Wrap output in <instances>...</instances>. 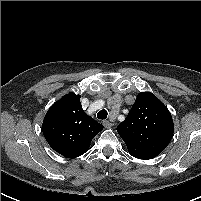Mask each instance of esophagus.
I'll return each mask as SVG.
<instances>
[{"instance_id": "esophagus-1", "label": "esophagus", "mask_w": 201, "mask_h": 201, "mask_svg": "<svg viewBox=\"0 0 201 201\" xmlns=\"http://www.w3.org/2000/svg\"><path fill=\"white\" fill-rule=\"evenodd\" d=\"M103 125L105 128H111L113 124L108 120H104Z\"/></svg>"}]
</instances>
